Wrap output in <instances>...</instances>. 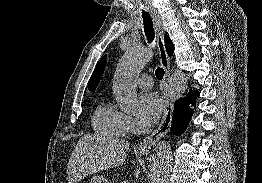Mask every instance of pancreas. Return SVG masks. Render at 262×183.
<instances>
[{
  "label": "pancreas",
  "mask_w": 262,
  "mask_h": 183,
  "mask_svg": "<svg viewBox=\"0 0 262 183\" xmlns=\"http://www.w3.org/2000/svg\"><path fill=\"white\" fill-rule=\"evenodd\" d=\"M122 183H128V181H127V180H125V181H123Z\"/></svg>",
  "instance_id": "obj_1"
}]
</instances>
